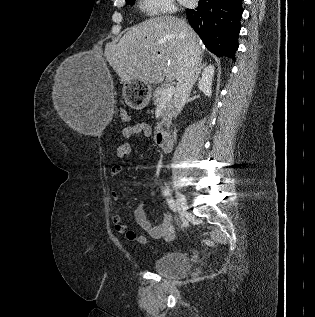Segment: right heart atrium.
Listing matches in <instances>:
<instances>
[{"label":"right heart atrium","instance_id":"1","mask_svg":"<svg viewBox=\"0 0 315 317\" xmlns=\"http://www.w3.org/2000/svg\"><path fill=\"white\" fill-rule=\"evenodd\" d=\"M140 7L150 16L172 13L176 10L174 0H140Z\"/></svg>","mask_w":315,"mask_h":317}]
</instances>
